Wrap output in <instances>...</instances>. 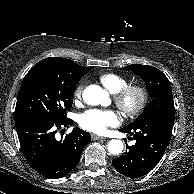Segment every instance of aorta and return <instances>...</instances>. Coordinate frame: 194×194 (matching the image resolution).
Wrapping results in <instances>:
<instances>
[{
    "mask_svg": "<svg viewBox=\"0 0 194 194\" xmlns=\"http://www.w3.org/2000/svg\"><path fill=\"white\" fill-rule=\"evenodd\" d=\"M83 100L89 105H100L108 100V93L98 85H90L83 91ZM124 148L121 140L112 139L107 144L110 154L119 155Z\"/></svg>",
    "mask_w": 194,
    "mask_h": 194,
    "instance_id": "aorta-1",
    "label": "aorta"
}]
</instances>
